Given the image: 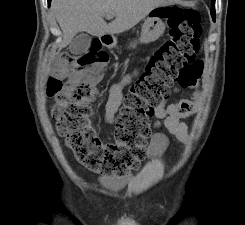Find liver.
<instances>
[{"label": "liver", "instance_id": "obj_1", "mask_svg": "<svg viewBox=\"0 0 245 225\" xmlns=\"http://www.w3.org/2000/svg\"><path fill=\"white\" fill-rule=\"evenodd\" d=\"M167 4V0H53L51 10L63 32L59 47L70 44L78 32L100 37L128 31L151 10ZM107 14L115 15L109 24L104 21Z\"/></svg>", "mask_w": 245, "mask_h": 225}]
</instances>
